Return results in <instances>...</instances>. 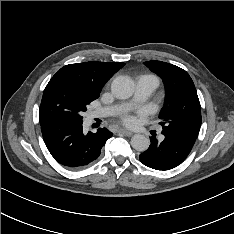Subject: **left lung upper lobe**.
Wrapping results in <instances>:
<instances>
[{"label":"left lung upper lobe","mask_w":234,"mask_h":234,"mask_svg":"<svg viewBox=\"0 0 234 234\" xmlns=\"http://www.w3.org/2000/svg\"><path fill=\"white\" fill-rule=\"evenodd\" d=\"M157 73L166 87V100L161 110L163 131L180 137L193 146L201 126V106L194 83L182 68L162 62L144 63Z\"/></svg>","instance_id":"1"}]
</instances>
